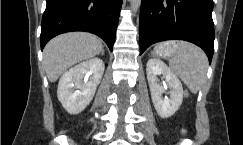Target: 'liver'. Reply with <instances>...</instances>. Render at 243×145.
<instances>
[{
  "label": "liver",
  "instance_id": "liver-1",
  "mask_svg": "<svg viewBox=\"0 0 243 145\" xmlns=\"http://www.w3.org/2000/svg\"><path fill=\"white\" fill-rule=\"evenodd\" d=\"M103 45L90 33L73 32L53 38L43 52L44 66L50 82H55L68 68L98 55Z\"/></svg>",
  "mask_w": 243,
  "mask_h": 145
}]
</instances>
